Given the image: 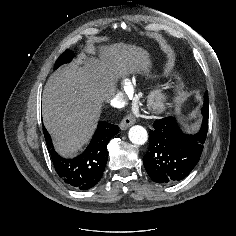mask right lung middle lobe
I'll list each match as a JSON object with an SVG mask.
<instances>
[{"instance_id": "1", "label": "right lung middle lobe", "mask_w": 236, "mask_h": 236, "mask_svg": "<svg viewBox=\"0 0 236 236\" xmlns=\"http://www.w3.org/2000/svg\"><path fill=\"white\" fill-rule=\"evenodd\" d=\"M73 58V52L69 51L68 49L61 54V56L56 60L54 69H57L62 64L68 63Z\"/></svg>"}]
</instances>
